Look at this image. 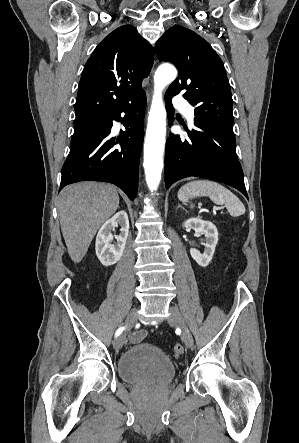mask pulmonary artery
<instances>
[{"instance_id":"obj_1","label":"pulmonary artery","mask_w":299,"mask_h":443,"mask_svg":"<svg viewBox=\"0 0 299 443\" xmlns=\"http://www.w3.org/2000/svg\"><path fill=\"white\" fill-rule=\"evenodd\" d=\"M173 103L180 110V112L186 117V119L190 123H193L195 118L193 107L180 95L174 96Z\"/></svg>"}]
</instances>
